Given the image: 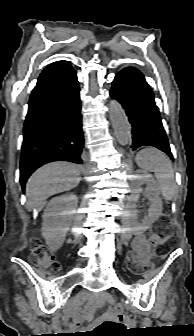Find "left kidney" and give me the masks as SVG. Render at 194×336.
Masks as SVG:
<instances>
[{"label": "left kidney", "mask_w": 194, "mask_h": 336, "mask_svg": "<svg viewBox=\"0 0 194 336\" xmlns=\"http://www.w3.org/2000/svg\"><path fill=\"white\" fill-rule=\"evenodd\" d=\"M147 185L146 197L149 200L150 208L147 216L142 223L137 222L136 202L139 198V193L142 192L141 186ZM128 204L131 208L130 216L134 221V226L139 231H146L161 215L162 202L160 199V190L153 176L149 173L138 170L137 174L132 178V194L128 198Z\"/></svg>", "instance_id": "left-kidney-1"}]
</instances>
